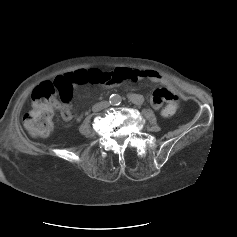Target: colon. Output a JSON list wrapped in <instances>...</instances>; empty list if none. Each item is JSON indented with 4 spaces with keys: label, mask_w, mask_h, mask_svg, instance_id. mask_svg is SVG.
<instances>
[{
    "label": "colon",
    "mask_w": 237,
    "mask_h": 237,
    "mask_svg": "<svg viewBox=\"0 0 237 237\" xmlns=\"http://www.w3.org/2000/svg\"><path fill=\"white\" fill-rule=\"evenodd\" d=\"M109 80L107 72L100 70H78L59 76L54 81L40 84L32 93L31 110L25 115L23 123L27 131L34 137L47 136L53 128L54 107L57 98H60L72 109L69 102L74 86H83L90 83L103 84ZM177 104H168L161 110L163 117L175 114Z\"/></svg>",
    "instance_id": "5ec220e1"
}]
</instances>
